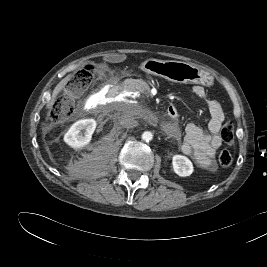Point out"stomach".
Instances as JSON below:
<instances>
[{
    "mask_svg": "<svg viewBox=\"0 0 267 267\" xmlns=\"http://www.w3.org/2000/svg\"><path fill=\"white\" fill-rule=\"evenodd\" d=\"M141 69L148 74L161 76L177 83H195L204 86H210L213 83V77L207 71L181 61L150 58L141 64Z\"/></svg>",
    "mask_w": 267,
    "mask_h": 267,
    "instance_id": "obj_1",
    "label": "stomach"
}]
</instances>
